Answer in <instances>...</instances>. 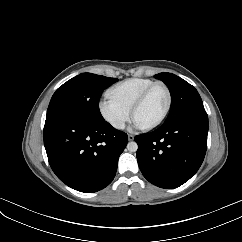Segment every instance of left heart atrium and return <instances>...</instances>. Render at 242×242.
<instances>
[{
    "instance_id": "obj_1",
    "label": "left heart atrium",
    "mask_w": 242,
    "mask_h": 242,
    "mask_svg": "<svg viewBox=\"0 0 242 242\" xmlns=\"http://www.w3.org/2000/svg\"><path fill=\"white\" fill-rule=\"evenodd\" d=\"M134 126L136 127V128H143V126L142 125H140L138 122H136V121H134Z\"/></svg>"
}]
</instances>
